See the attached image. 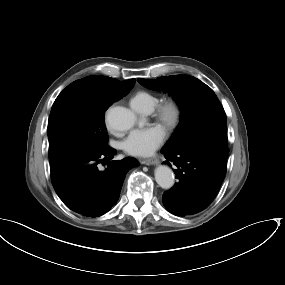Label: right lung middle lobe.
Instances as JSON below:
<instances>
[{
  "mask_svg": "<svg viewBox=\"0 0 285 285\" xmlns=\"http://www.w3.org/2000/svg\"><path fill=\"white\" fill-rule=\"evenodd\" d=\"M126 96L100 79L85 77L68 85L56 98L48 122L49 161L108 147L105 111Z\"/></svg>",
  "mask_w": 285,
  "mask_h": 285,
  "instance_id": "right-lung-middle-lobe-1",
  "label": "right lung middle lobe"
}]
</instances>
